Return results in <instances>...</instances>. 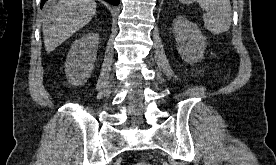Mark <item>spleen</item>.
I'll return each mask as SVG.
<instances>
[{"mask_svg": "<svg viewBox=\"0 0 276 165\" xmlns=\"http://www.w3.org/2000/svg\"><path fill=\"white\" fill-rule=\"evenodd\" d=\"M194 1L206 11L203 21L206 29L218 35L227 32L232 23V9L230 0H179L183 4H190Z\"/></svg>", "mask_w": 276, "mask_h": 165, "instance_id": "3e777b00", "label": "spleen"}]
</instances>
